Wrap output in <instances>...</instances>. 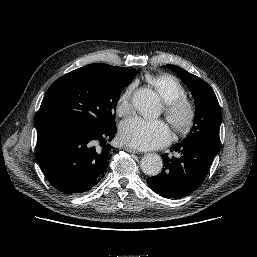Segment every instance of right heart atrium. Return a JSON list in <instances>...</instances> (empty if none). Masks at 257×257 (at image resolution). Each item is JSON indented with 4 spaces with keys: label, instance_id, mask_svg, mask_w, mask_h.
Listing matches in <instances>:
<instances>
[{
    "label": "right heart atrium",
    "instance_id": "1",
    "mask_svg": "<svg viewBox=\"0 0 257 257\" xmlns=\"http://www.w3.org/2000/svg\"><path fill=\"white\" fill-rule=\"evenodd\" d=\"M134 85H129L119 96L117 102V113L119 116H127L132 111V94Z\"/></svg>",
    "mask_w": 257,
    "mask_h": 257
}]
</instances>
